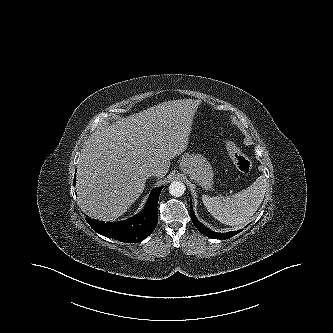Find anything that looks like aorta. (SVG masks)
<instances>
[{"label":"aorta","mask_w":333,"mask_h":333,"mask_svg":"<svg viewBox=\"0 0 333 333\" xmlns=\"http://www.w3.org/2000/svg\"><path fill=\"white\" fill-rule=\"evenodd\" d=\"M186 187L181 181H173L169 185V193L174 197H181L185 193Z\"/></svg>","instance_id":"762f6f07"}]
</instances>
